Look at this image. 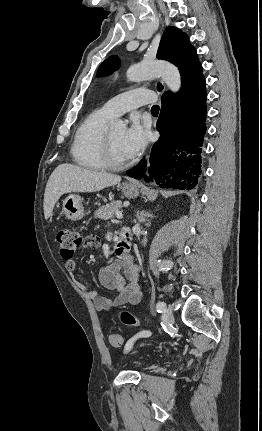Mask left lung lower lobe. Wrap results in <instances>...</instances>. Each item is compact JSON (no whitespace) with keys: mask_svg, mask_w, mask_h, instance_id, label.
Returning a JSON list of instances; mask_svg holds the SVG:
<instances>
[{"mask_svg":"<svg viewBox=\"0 0 262 431\" xmlns=\"http://www.w3.org/2000/svg\"><path fill=\"white\" fill-rule=\"evenodd\" d=\"M206 99L205 78L176 95L163 94L157 121L161 137L152 147L150 179L145 175V159L126 174L146 182L154 180L162 188L194 189L201 174Z\"/></svg>","mask_w":262,"mask_h":431,"instance_id":"left-lung-lower-lobe-1","label":"left lung lower lobe"}]
</instances>
